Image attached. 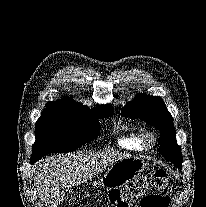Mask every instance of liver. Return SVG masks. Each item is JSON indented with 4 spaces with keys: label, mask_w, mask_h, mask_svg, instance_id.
I'll return each mask as SVG.
<instances>
[{
    "label": "liver",
    "mask_w": 206,
    "mask_h": 207,
    "mask_svg": "<svg viewBox=\"0 0 206 207\" xmlns=\"http://www.w3.org/2000/svg\"><path fill=\"white\" fill-rule=\"evenodd\" d=\"M125 157L127 156L114 152H77L41 160L34 176L41 201L46 207H57L64 199V190L86 182L110 164Z\"/></svg>",
    "instance_id": "liver-1"
}]
</instances>
